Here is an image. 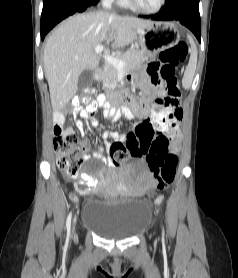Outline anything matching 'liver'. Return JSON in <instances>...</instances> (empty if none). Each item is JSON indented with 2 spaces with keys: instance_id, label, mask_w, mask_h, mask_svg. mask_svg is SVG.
<instances>
[{
  "instance_id": "6515ba94",
  "label": "liver",
  "mask_w": 238,
  "mask_h": 278,
  "mask_svg": "<svg viewBox=\"0 0 238 278\" xmlns=\"http://www.w3.org/2000/svg\"><path fill=\"white\" fill-rule=\"evenodd\" d=\"M150 23L103 11L74 15L62 22L44 47V71L53 110H61L77 93L84 70L97 68L96 46L113 41V49L122 48Z\"/></svg>"
}]
</instances>
